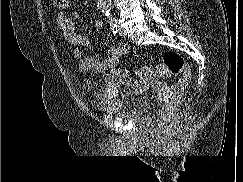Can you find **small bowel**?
Returning <instances> with one entry per match:
<instances>
[{
  "mask_svg": "<svg viewBox=\"0 0 243 182\" xmlns=\"http://www.w3.org/2000/svg\"><path fill=\"white\" fill-rule=\"evenodd\" d=\"M78 18L77 13L59 12L57 15V24L61 30L64 39L73 46V56L78 60L80 72L84 76L82 86L86 90H94L95 82L90 77L91 74H104L105 88L94 90L93 96L96 98L106 97L115 98L121 90L124 93L138 91L141 83L131 78L127 70L117 68L119 60L127 53L128 47L124 43H118L112 46L105 57L97 55H88L85 50L90 48L88 37L78 34L75 30V20ZM104 26L102 20L94 23L96 29Z\"/></svg>",
  "mask_w": 243,
  "mask_h": 182,
  "instance_id": "c3829d8e",
  "label": "small bowel"
}]
</instances>
